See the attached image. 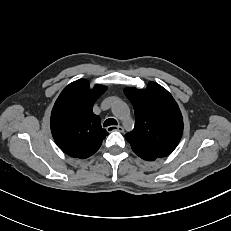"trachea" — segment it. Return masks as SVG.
I'll use <instances>...</instances> for the list:
<instances>
[{
  "instance_id": "1",
  "label": "trachea",
  "mask_w": 231,
  "mask_h": 231,
  "mask_svg": "<svg viewBox=\"0 0 231 231\" xmlns=\"http://www.w3.org/2000/svg\"><path fill=\"white\" fill-rule=\"evenodd\" d=\"M112 125H117V121L113 118H109L107 120H105L103 126L107 127V126H112Z\"/></svg>"
}]
</instances>
